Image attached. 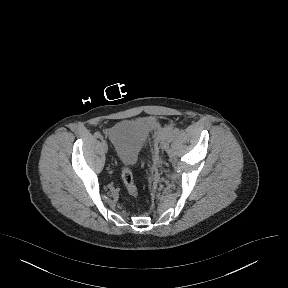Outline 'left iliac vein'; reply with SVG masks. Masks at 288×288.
Masks as SVG:
<instances>
[{"mask_svg": "<svg viewBox=\"0 0 288 288\" xmlns=\"http://www.w3.org/2000/svg\"><path fill=\"white\" fill-rule=\"evenodd\" d=\"M167 145H168V141H167V139H164V140L162 141V143H161L162 149H166V148H167Z\"/></svg>", "mask_w": 288, "mask_h": 288, "instance_id": "left-iliac-vein-1", "label": "left iliac vein"}]
</instances>
